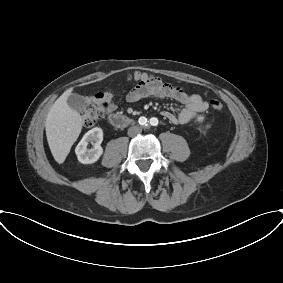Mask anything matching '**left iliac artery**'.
Segmentation results:
<instances>
[{
  "label": "left iliac artery",
  "mask_w": 283,
  "mask_h": 283,
  "mask_svg": "<svg viewBox=\"0 0 283 283\" xmlns=\"http://www.w3.org/2000/svg\"><path fill=\"white\" fill-rule=\"evenodd\" d=\"M150 124H151L152 126H156V125L158 124V119H157V118H151V119H150Z\"/></svg>",
  "instance_id": "44dca946"
}]
</instances>
